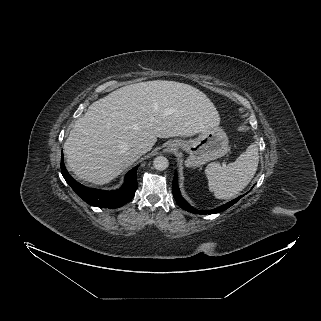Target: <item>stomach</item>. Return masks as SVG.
Here are the masks:
<instances>
[{
  "label": "stomach",
  "mask_w": 321,
  "mask_h": 321,
  "mask_svg": "<svg viewBox=\"0 0 321 321\" xmlns=\"http://www.w3.org/2000/svg\"><path fill=\"white\" fill-rule=\"evenodd\" d=\"M228 142V137L223 129L215 126L203 130L193 140H174L171 143H177L179 147L189 153L187 159L189 167H198L224 156L229 150Z\"/></svg>",
  "instance_id": "stomach-1"
}]
</instances>
